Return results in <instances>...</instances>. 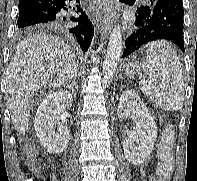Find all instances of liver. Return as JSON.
<instances>
[{
    "mask_svg": "<svg viewBox=\"0 0 197 181\" xmlns=\"http://www.w3.org/2000/svg\"><path fill=\"white\" fill-rule=\"evenodd\" d=\"M78 61L60 38L38 34L18 43L6 71V97L18 135L29 125V105L42 87L60 88L77 75Z\"/></svg>",
    "mask_w": 197,
    "mask_h": 181,
    "instance_id": "liver-1",
    "label": "liver"
}]
</instances>
